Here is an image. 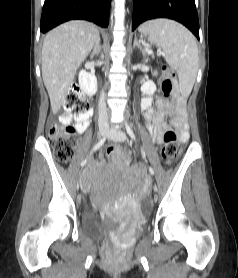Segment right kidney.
Wrapping results in <instances>:
<instances>
[{
    "mask_svg": "<svg viewBox=\"0 0 238 278\" xmlns=\"http://www.w3.org/2000/svg\"><path fill=\"white\" fill-rule=\"evenodd\" d=\"M79 85L87 95H94L97 91L96 77L84 70L79 72Z\"/></svg>",
    "mask_w": 238,
    "mask_h": 278,
    "instance_id": "1",
    "label": "right kidney"
}]
</instances>
